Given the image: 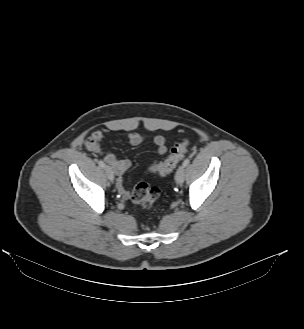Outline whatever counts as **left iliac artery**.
<instances>
[{
  "label": "left iliac artery",
  "instance_id": "44dca946",
  "mask_svg": "<svg viewBox=\"0 0 304 329\" xmlns=\"http://www.w3.org/2000/svg\"><path fill=\"white\" fill-rule=\"evenodd\" d=\"M190 163V159L189 158H187V159H185L184 161H183V166H187L188 164Z\"/></svg>",
  "mask_w": 304,
  "mask_h": 329
}]
</instances>
